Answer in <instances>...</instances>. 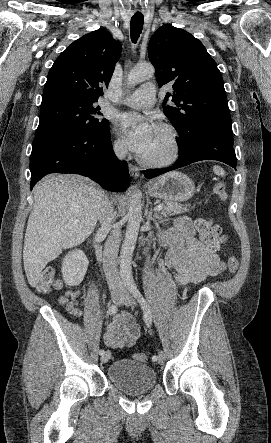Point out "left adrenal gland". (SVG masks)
Masks as SVG:
<instances>
[{
	"label": "left adrenal gland",
	"mask_w": 271,
	"mask_h": 443,
	"mask_svg": "<svg viewBox=\"0 0 271 443\" xmlns=\"http://www.w3.org/2000/svg\"><path fill=\"white\" fill-rule=\"evenodd\" d=\"M153 218H157V220H162L161 216H156V214L155 216H153Z\"/></svg>",
	"instance_id": "obj_1"
}]
</instances>
